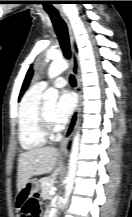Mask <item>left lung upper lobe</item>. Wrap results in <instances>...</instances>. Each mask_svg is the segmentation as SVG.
I'll use <instances>...</instances> for the list:
<instances>
[{
    "instance_id": "obj_1",
    "label": "left lung upper lobe",
    "mask_w": 132,
    "mask_h": 217,
    "mask_svg": "<svg viewBox=\"0 0 132 217\" xmlns=\"http://www.w3.org/2000/svg\"><path fill=\"white\" fill-rule=\"evenodd\" d=\"M31 76H32V71L29 70L28 73H27V75H26V80H25V82H24L25 84L23 85L22 90H21V92H20L19 99H20V97L22 96L24 90L26 89V86H27V84H28V82H29Z\"/></svg>"
}]
</instances>
